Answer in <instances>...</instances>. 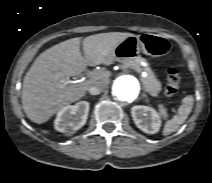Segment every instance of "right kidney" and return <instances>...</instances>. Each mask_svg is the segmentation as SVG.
<instances>
[{"instance_id":"1","label":"right kidney","mask_w":212,"mask_h":183,"mask_svg":"<svg viewBox=\"0 0 212 183\" xmlns=\"http://www.w3.org/2000/svg\"><path fill=\"white\" fill-rule=\"evenodd\" d=\"M89 103L80 101L75 105H67L63 107L57 114L54 128L66 134H73L75 131L85 125L88 113Z\"/></svg>"}]
</instances>
